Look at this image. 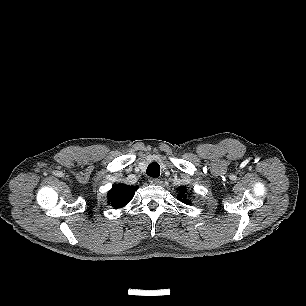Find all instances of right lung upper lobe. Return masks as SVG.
I'll return each instance as SVG.
<instances>
[{
  "label": "right lung upper lobe",
  "mask_w": 306,
  "mask_h": 306,
  "mask_svg": "<svg viewBox=\"0 0 306 306\" xmlns=\"http://www.w3.org/2000/svg\"><path fill=\"white\" fill-rule=\"evenodd\" d=\"M137 189V186L134 187L125 184L116 185L108 192V203L114 209L121 208L131 201Z\"/></svg>",
  "instance_id": "right-lung-upper-lobe-1"
}]
</instances>
